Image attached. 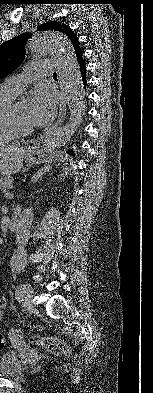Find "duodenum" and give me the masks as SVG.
<instances>
[{"label":"duodenum","instance_id":"1","mask_svg":"<svg viewBox=\"0 0 153 393\" xmlns=\"http://www.w3.org/2000/svg\"><path fill=\"white\" fill-rule=\"evenodd\" d=\"M19 213L15 212L8 223V228L11 231H16L18 229Z\"/></svg>","mask_w":153,"mask_h":393}]
</instances>
